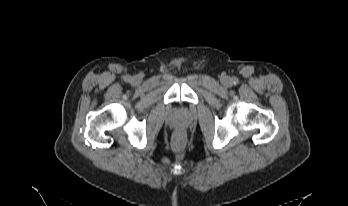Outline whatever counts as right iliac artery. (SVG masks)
<instances>
[{
  "label": "right iliac artery",
  "mask_w": 348,
  "mask_h": 206,
  "mask_svg": "<svg viewBox=\"0 0 348 206\" xmlns=\"http://www.w3.org/2000/svg\"><path fill=\"white\" fill-rule=\"evenodd\" d=\"M130 80H131V77H130V76H126V77H125V81H126V82H129Z\"/></svg>",
  "instance_id": "obj_1"
}]
</instances>
